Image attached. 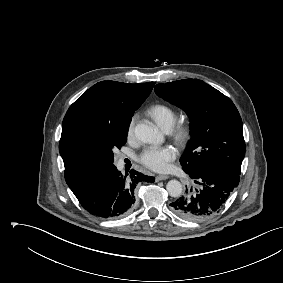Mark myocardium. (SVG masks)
<instances>
[{
	"label": "myocardium",
	"mask_w": 283,
	"mask_h": 283,
	"mask_svg": "<svg viewBox=\"0 0 283 283\" xmlns=\"http://www.w3.org/2000/svg\"><path fill=\"white\" fill-rule=\"evenodd\" d=\"M172 138L178 144H184L190 137V125L188 122H176L171 131Z\"/></svg>",
	"instance_id": "f54148a6"
}]
</instances>
